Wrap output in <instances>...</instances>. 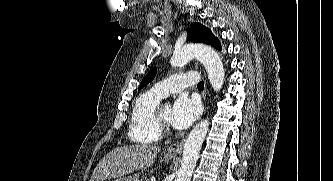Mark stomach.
Listing matches in <instances>:
<instances>
[{
	"instance_id": "0dacf381",
	"label": "stomach",
	"mask_w": 333,
	"mask_h": 181,
	"mask_svg": "<svg viewBox=\"0 0 333 181\" xmlns=\"http://www.w3.org/2000/svg\"><path fill=\"white\" fill-rule=\"evenodd\" d=\"M175 155H165L164 156V161H169L172 158H174ZM117 181H140V175L135 173L126 177H122L120 179H118Z\"/></svg>"
}]
</instances>
